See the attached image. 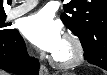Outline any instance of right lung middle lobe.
Returning a JSON list of instances; mask_svg holds the SVG:
<instances>
[{
	"label": "right lung middle lobe",
	"mask_w": 107,
	"mask_h": 75,
	"mask_svg": "<svg viewBox=\"0 0 107 75\" xmlns=\"http://www.w3.org/2000/svg\"><path fill=\"white\" fill-rule=\"evenodd\" d=\"M6 14L0 15V39L7 38L13 34L15 29L6 28L7 24H5Z\"/></svg>",
	"instance_id": "right-lung-middle-lobe-1"
}]
</instances>
